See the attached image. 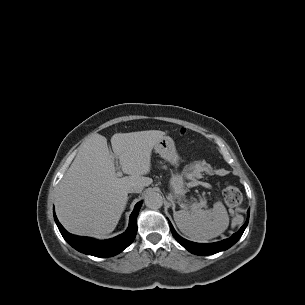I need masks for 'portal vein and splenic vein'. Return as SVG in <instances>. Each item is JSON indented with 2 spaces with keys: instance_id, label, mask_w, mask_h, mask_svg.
Here are the masks:
<instances>
[{
  "instance_id": "18ae733b",
  "label": "portal vein and splenic vein",
  "mask_w": 305,
  "mask_h": 305,
  "mask_svg": "<svg viewBox=\"0 0 305 305\" xmlns=\"http://www.w3.org/2000/svg\"><path fill=\"white\" fill-rule=\"evenodd\" d=\"M117 166H118V163H117ZM119 169V167H118ZM116 176L117 177H122V172L120 170L117 171L116 173ZM199 207H204V208H207V201L206 199H201L200 203H198Z\"/></svg>"
}]
</instances>
